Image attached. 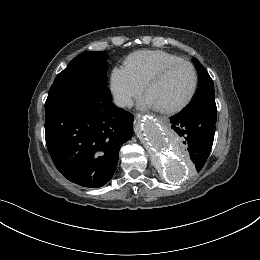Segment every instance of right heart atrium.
Instances as JSON below:
<instances>
[{"label": "right heart atrium", "mask_w": 260, "mask_h": 260, "mask_svg": "<svg viewBox=\"0 0 260 260\" xmlns=\"http://www.w3.org/2000/svg\"><path fill=\"white\" fill-rule=\"evenodd\" d=\"M111 89L121 107L129 106L143 90V85L134 80L123 67L114 68L111 75Z\"/></svg>", "instance_id": "d8ad5b80"}]
</instances>
